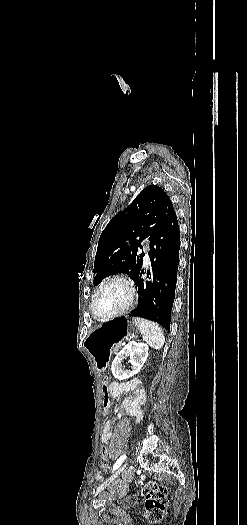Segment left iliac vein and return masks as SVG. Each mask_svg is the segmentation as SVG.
<instances>
[{"instance_id":"obj_1","label":"left iliac vein","mask_w":247,"mask_h":525,"mask_svg":"<svg viewBox=\"0 0 247 525\" xmlns=\"http://www.w3.org/2000/svg\"><path fill=\"white\" fill-rule=\"evenodd\" d=\"M128 465H129V461H126L120 468H118L116 470V472L104 484H102L97 489V491L95 492V495H97L98 493L103 491L104 488H106L107 485H109L111 482H113L127 468Z\"/></svg>"}]
</instances>
